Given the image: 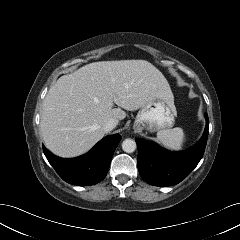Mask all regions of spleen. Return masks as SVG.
<instances>
[{
  "label": "spleen",
  "instance_id": "3e777b00",
  "mask_svg": "<svg viewBox=\"0 0 240 240\" xmlns=\"http://www.w3.org/2000/svg\"><path fill=\"white\" fill-rule=\"evenodd\" d=\"M160 143L170 150H180L186 141V135L182 128L161 130L157 133Z\"/></svg>",
  "mask_w": 240,
  "mask_h": 240
}]
</instances>
